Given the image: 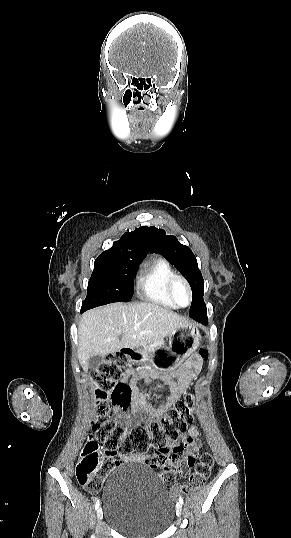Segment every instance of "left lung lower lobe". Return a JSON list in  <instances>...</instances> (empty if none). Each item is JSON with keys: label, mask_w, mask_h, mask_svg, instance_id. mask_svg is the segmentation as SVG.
<instances>
[{"label": "left lung lower lobe", "mask_w": 291, "mask_h": 538, "mask_svg": "<svg viewBox=\"0 0 291 538\" xmlns=\"http://www.w3.org/2000/svg\"><path fill=\"white\" fill-rule=\"evenodd\" d=\"M192 318L202 324L208 323V318L206 315V308H200L197 312L191 314Z\"/></svg>", "instance_id": "left-lung-lower-lobe-1"}]
</instances>
